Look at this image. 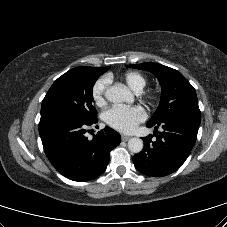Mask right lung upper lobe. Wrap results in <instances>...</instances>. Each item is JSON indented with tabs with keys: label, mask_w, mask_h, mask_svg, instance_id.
Instances as JSON below:
<instances>
[{
	"label": "right lung upper lobe",
	"mask_w": 227,
	"mask_h": 227,
	"mask_svg": "<svg viewBox=\"0 0 227 227\" xmlns=\"http://www.w3.org/2000/svg\"><path fill=\"white\" fill-rule=\"evenodd\" d=\"M90 67V66H89ZM98 71L106 72L110 67H92Z\"/></svg>",
	"instance_id": "1"
}]
</instances>
